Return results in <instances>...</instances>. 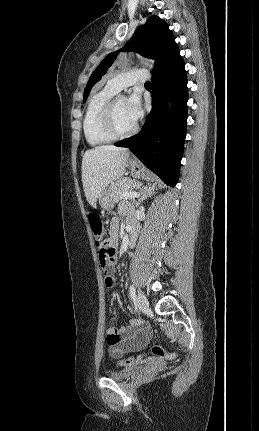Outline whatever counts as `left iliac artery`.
I'll list each match as a JSON object with an SVG mask.
<instances>
[{
	"instance_id": "44dca946",
	"label": "left iliac artery",
	"mask_w": 259,
	"mask_h": 431,
	"mask_svg": "<svg viewBox=\"0 0 259 431\" xmlns=\"http://www.w3.org/2000/svg\"><path fill=\"white\" fill-rule=\"evenodd\" d=\"M130 296H131L132 300H135L136 292H135V288L133 285L130 286Z\"/></svg>"
}]
</instances>
